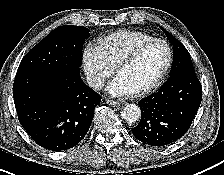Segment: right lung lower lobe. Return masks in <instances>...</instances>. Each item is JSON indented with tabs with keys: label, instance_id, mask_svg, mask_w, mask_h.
<instances>
[{
	"label": "right lung lower lobe",
	"instance_id": "obj_1",
	"mask_svg": "<svg viewBox=\"0 0 224 175\" xmlns=\"http://www.w3.org/2000/svg\"><path fill=\"white\" fill-rule=\"evenodd\" d=\"M18 119L31 138L52 151L67 150L87 134L101 96L80 69L19 70L13 85Z\"/></svg>",
	"mask_w": 224,
	"mask_h": 175
}]
</instances>
